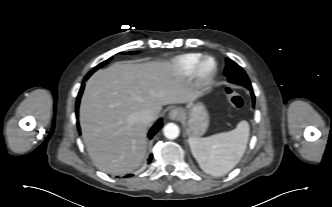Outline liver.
<instances>
[{
	"label": "liver",
	"mask_w": 332,
	"mask_h": 207,
	"mask_svg": "<svg viewBox=\"0 0 332 207\" xmlns=\"http://www.w3.org/2000/svg\"><path fill=\"white\" fill-rule=\"evenodd\" d=\"M194 98L167 61L116 62L98 70L80 104L82 137L93 163L109 174L133 171L146 152L148 125L139 121V113L151 109L157 118L162 106Z\"/></svg>",
	"instance_id": "6515ba94"
}]
</instances>
